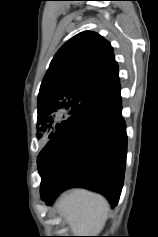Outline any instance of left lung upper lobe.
I'll use <instances>...</instances> for the list:
<instances>
[{
    "mask_svg": "<svg viewBox=\"0 0 158 237\" xmlns=\"http://www.w3.org/2000/svg\"><path fill=\"white\" fill-rule=\"evenodd\" d=\"M118 83V66L108 41L90 31L71 38L58 50L42 81L37 137L53 130L51 139L68 116Z\"/></svg>",
    "mask_w": 158,
    "mask_h": 237,
    "instance_id": "5c2ea615",
    "label": "left lung upper lobe"
}]
</instances>
